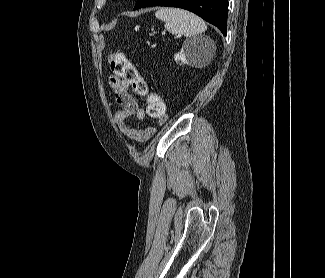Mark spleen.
Here are the masks:
<instances>
[{
    "label": "spleen",
    "mask_w": 325,
    "mask_h": 278,
    "mask_svg": "<svg viewBox=\"0 0 325 278\" xmlns=\"http://www.w3.org/2000/svg\"><path fill=\"white\" fill-rule=\"evenodd\" d=\"M156 18L164 21L165 29L172 34L192 37L206 31V23L198 16L179 8H160Z\"/></svg>",
    "instance_id": "3e777b00"
}]
</instances>
